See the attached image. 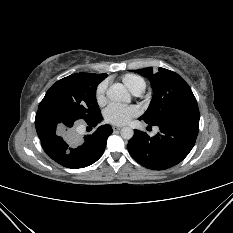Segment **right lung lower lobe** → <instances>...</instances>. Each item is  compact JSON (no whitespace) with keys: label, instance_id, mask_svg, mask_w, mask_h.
<instances>
[{"label":"right lung lower lobe","instance_id":"98d812e1","mask_svg":"<svg viewBox=\"0 0 233 233\" xmlns=\"http://www.w3.org/2000/svg\"><path fill=\"white\" fill-rule=\"evenodd\" d=\"M102 119L100 114L86 122L95 127ZM74 124L75 121L49 109L38 110L35 118L37 134L47 155L64 167L78 169L102 156L112 128L108 124L100 126L93 134L80 139L72 129Z\"/></svg>","mask_w":233,"mask_h":233}]
</instances>
